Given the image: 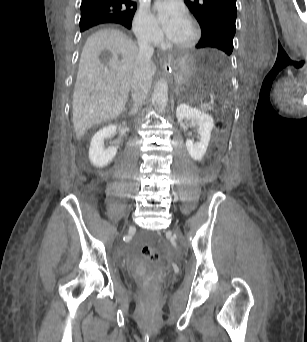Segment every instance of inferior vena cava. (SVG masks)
Masks as SVG:
<instances>
[{"instance_id": "602c4592", "label": "inferior vena cava", "mask_w": 307, "mask_h": 342, "mask_svg": "<svg viewBox=\"0 0 307 342\" xmlns=\"http://www.w3.org/2000/svg\"><path fill=\"white\" fill-rule=\"evenodd\" d=\"M139 52L135 62L134 74L132 76L131 96L137 104L145 102L151 88L152 78L155 74L151 66V56L154 54V48L150 40L138 38Z\"/></svg>"}]
</instances>
